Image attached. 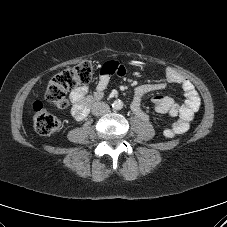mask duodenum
<instances>
[{"label":"duodenum","instance_id":"obj_1","mask_svg":"<svg viewBox=\"0 0 227 227\" xmlns=\"http://www.w3.org/2000/svg\"><path fill=\"white\" fill-rule=\"evenodd\" d=\"M99 100H100V98H98V97H95L92 100H90V102L88 103V109H89L90 105L97 103Z\"/></svg>","mask_w":227,"mask_h":227}]
</instances>
